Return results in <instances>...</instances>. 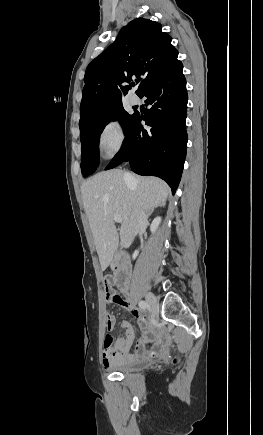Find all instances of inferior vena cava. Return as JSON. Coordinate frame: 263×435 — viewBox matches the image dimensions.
Returning a JSON list of instances; mask_svg holds the SVG:
<instances>
[{
  "mask_svg": "<svg viewBox=\"0 0 263 435\" xmlns=\"http://www.w3.org/2000/svg\"><path fill=\"white\" fill-rule=\"evenodd\" d=\"M124 180L126 182H131L133 180L132 174L129 172H124ZM147 220V214L142 208H136L134 212L133 217V225H132V231L133 235L136 236L139 232L141 226L146 222Z\"/></svg>",
  "mask_w": 263,
  "mask_h": 435,
  "instance_id": "1",
  "label": "inferior vena cava"
}]
</instances>
